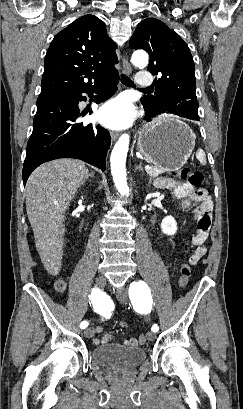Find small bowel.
Segmentation results:
<instances>
[{
	"label": "small bowel",
	"instance_id": "1",
	"mask_svg": "<svg viewBox=\"0 0 243 409\" xmlns=\"http://www.w3.org/2000/svg\"><path fill=\"white\" fill-rule=\"evenodd\" d=\"M159 188L171 190L174 195L181 200L182 205L186 209H193L194 216L197 221V232L188 241L191 246L195 247V250L190 255L188 262L191 265L196 264L206 253V247L204 245L211 226L213 202L210 196L204 189L194 188L189 182L174 181L169 178H159L156 182ZM112 311V304L106 300L104 304L103 318H108ZM98 334L103 332L101 326L96 327ZM115 337L111 334H104L94 340L95 344L112 342ZM124 346H137L139 344L136 338L123 339L121 342Z\"/></svg>",
	"mask_w": 243,
	"mask_h": 409
}]
</instances>
